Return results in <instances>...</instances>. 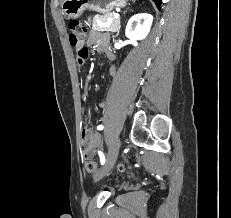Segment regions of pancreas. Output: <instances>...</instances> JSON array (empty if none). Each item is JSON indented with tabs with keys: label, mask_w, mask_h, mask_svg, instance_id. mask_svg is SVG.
<instances>
[{
	"label": "pancreas",
	"mask_w": 231,
	"mask_h": 218,
	"mask_svg": "<svg viewBox=\"0 0 231 218\" xmlns=\"http://www.w3.org/2000/svg\"><path fill=\"white\" fill-rule=\"evenodd\" d=\"M114 16L113 12L100 15L98 21L93 20L92 28L97 31H117L120 27V19H115ZM109 19H112L111 23L108 26L104 25Z\"/></svg>",
	"instance_id": "cf45deb5"
}]
</instances>
